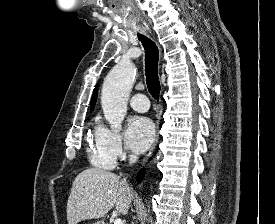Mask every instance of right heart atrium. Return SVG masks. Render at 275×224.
Masks as SVG:
<instances>
[{
  "label": "right heart atrium",
  "mask_w": 275,
  "mask_h": 224,
  "mask_svg": "<svg viewBox=\"0 0 275 224\" xmlns=\"http://www.w3.org/2000/svg\"><path fill=\"white\" fill-rule=\"evenodd\" d=\"M101 141L110 155L115 159H122L126 152L123 146V139L118 131L109 129L107 127H99Z\"/></svg>",
  "instance_id": "obj_1"
}]
</instances>
